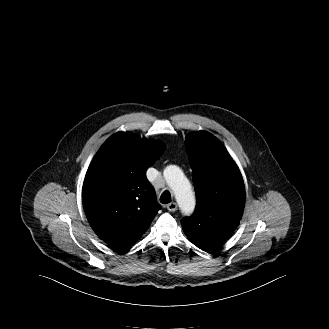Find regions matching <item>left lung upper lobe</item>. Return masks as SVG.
Listing matches in <instances>:
<instances>
[{
	"label": "left lung upper lobe",
	"instance_id": "obj_1",
	"mask_svg": "<svg viewBox=\"0 0 329 329\" xmlns=\"http://www.w3.org/2000/svg\"><path fill=\"white\" fill-rule=\"evenodd\" d=\"M186 151L197 196L195 213L181 221L189 240L228 237L239 225L245 205L241 173L222 143L205 131L187 136Z\"/></svg>",
	"mask_w": 329,
	"mask_h": 329
}]
</instances>
